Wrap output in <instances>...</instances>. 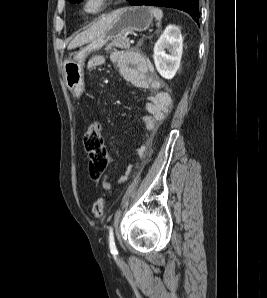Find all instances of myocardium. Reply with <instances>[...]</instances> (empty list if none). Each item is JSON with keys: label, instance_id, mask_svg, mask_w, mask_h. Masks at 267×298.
Segmentation results:
<instances>
[{"label": "myocardium", "instance_id": "f54148a6", "mask_svg": "<svg viewBox=\"0 0 267 298\" xmlns=\"http://www.w3.org/2000/svg\"><path fill=\"white\" fill-rule=\"evenodd\" d=\"M114 0H98V5L94 8H90L93 0H83L82 10L84 13L89 15H96L104 11Z\"/></svg>", "mask_w": 267, "mask_h": 298}]
</instances>
